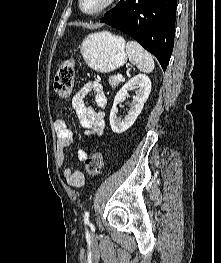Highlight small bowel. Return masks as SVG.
Instances as JSON below:
<instances>
[{
	"label": "small bowel",
	"instance_id": "1",
	"mask_svg": "<svg viewBox=\"0 0 221 263\" xmlns=\"http://www.w3.org/2000/svg\"><path fill=\"white\" fill-rule=\"evenodd\" d=\"M94 94L95 104L103 108L106 106L107 99L104 94L103 86L99 81L93 80L86 83L74 96L73 108L84 127L86 134L101 136L104 131V113L88 107L84 98L90 94ZM54 128L57 133V151L56 161L58 167L62 170L67 183L74 187H79L84 184L85 177L80 170H74L69 167H63L65 161V148L71 146L75 141L73 131L68 127L67 122L63 119H58L54 122ZM88 157V152L85 149L78 150V158L83 161Z\"/></svg>",
	"mask_w": 221,
	"mask_h": 263
}]
</instances>
